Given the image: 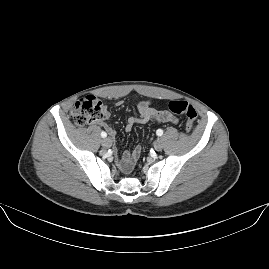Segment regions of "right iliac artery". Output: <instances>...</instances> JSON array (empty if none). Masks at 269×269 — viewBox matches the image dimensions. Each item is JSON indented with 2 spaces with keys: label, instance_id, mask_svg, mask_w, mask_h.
<instances>
[{
  "label": "right iliac artery",
  "instance_id": "82829eb1",
  "mask_svg": "<svg viewBox=\"0 0 269 269\" xmlns=\"http://www.w3.org/2000/svg\"><path fill=\"white\" fill-rule=\"evenodd\" d=\"M101 136L103 137V138H105V137H107V133L106 132H101Z\"/></svg>",
  "mask_w": 269,
  "mask_h": 269
}]
</instances>
